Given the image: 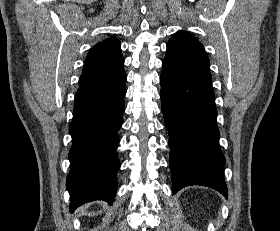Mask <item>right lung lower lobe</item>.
Masks as SVG:
<instances>
[{
    "label": "right lung lower lobe",
    "instance_id": "obj_1",
    "mask_svg": "<svg viewBox=\"0 0 280 231\" xmlns=\"http://www.w3.org/2000/svg\"><path fill=\"white\" fill-rule=\"evenodd\" d=\"M126 86L83 102H74L69 127L72 147L66 187L70 193V212L91 201L111 204L117 190L120 163L116 149L122 125Z\"/></svg>",
    "mask_w": 280,
    "mask_h": 231
}]
</instances>
